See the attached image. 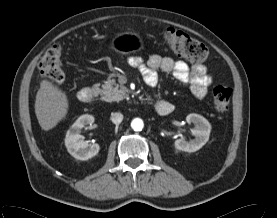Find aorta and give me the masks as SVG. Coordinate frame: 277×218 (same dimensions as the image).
<instances>
[{
	"mask_svg": "<svg viewBox=\"0 0 277 218\" xmlns=\"http://www.w3.org/2000/svg\"><path fill=\"white\" fill-rule=\"evenodd\" d=\"M131 127L134 131H141L144 127L143 120L140 118H135L131 122Z\"/></svg>",
	"mask_w": 277,
	"mask_h": 218,
	"instance_id": "762f6f07",
	"label": "aorta"
}]
</instances>
